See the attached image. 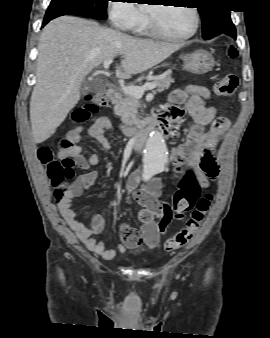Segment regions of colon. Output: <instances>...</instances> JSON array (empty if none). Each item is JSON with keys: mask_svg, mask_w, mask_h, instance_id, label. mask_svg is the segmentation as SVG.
Masks as SVG:
<instances>
[{"mask_svg": "<svg viewBox=\"0 0 270 338\" xmlns=\"http://www.w3.org/2000/svg\"><path fill=\"white\" fill-rule=\"evenodd\" d=\"M226 51L230 58L235 59L238 55L237 49L233 45H229ZM237 85V76L228 74L216 84L214 92L219 96L230 98L234 95ZM108 104V98L103 93L89 95L86 104L75 110L74 120L79 123L85 122L90 114L96 112V110L100 107L108 106ZM228 126L229 122L225 118H218L213 124V128L219 130H226ZM61 145L65 149L72 147V143L67 139H64ZM37 157L42 164L46 165L47 176L54 190L64 188L67 182L74 177V163L71 158L66 157L60 161L54 160L51 150L47 147L40 148L37 152ZM200 166L202 171L208 177H217L218 167L215 159L212 157V151L210 148L204 149ZM211 199V194L200 195L199 189L196 186H190L186 189L179 190L175 194L173 206H170L169 204L163 205L166 222L172 218L179 219L185 212L194 208L191 217L186 222V225L172 238L165 241L163 248L166 252H171L181 246H184L193 238L205 219L210 207ZM140 217L141 220L148 221L152 216L146 212H142Z\"/></svg>", "mask_w": 270, "mask_h": 338, "instance_id": "1", "label": "colon"}]
</instances>
